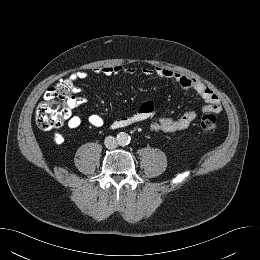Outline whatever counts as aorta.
<instances>
[{"label": "aorta", "instance_id": "762f6f07", "mask_svg": "<svg viewBox=\"0 0 260 260\" xmlns=\"http://www.w3.org/2000/svg\"><path fill=\"white\" fill-rule=\"evenodd\" d=\"M130 140H131V137L127 133H124V132L119 133L117 136L118 144L121 146L128 145L130 143Z\"/></svg>", "mask_w": 260, "mask_h": 260}]
</instances>
